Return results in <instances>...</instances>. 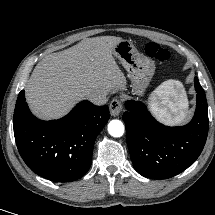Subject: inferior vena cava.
I'll return each instance as SVG.
<instances>
[{
	"mask_svg": "<svg viewBox=\"0 0 215 215\" xmlns=\"http://www.w3.org/2000/svg\"><path fill=\"white\" fill-rule=\"evenodd\" d=\"M106 96L103 92H92L87 94L86 98L95 105H104L107 102Z\"/></svg>",
	"mask_w": 215,
	"mask_h": 215,
	"instance_id": "602c4592",
	"label": "inferior vena cava"
}]
</instances>
